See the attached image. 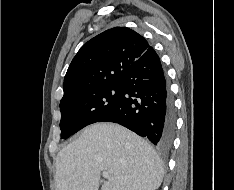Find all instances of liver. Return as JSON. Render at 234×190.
<instances>
[{
	"mask_svg": "<svg viewBox=\"0 0 234 190\" xmlns=\"http://www.w3.org/2000/svg\"><path fill=\"white\" fill-rule=\"evenodd\" d=\"M111 179L101 190H157L164 176L155 150L114 123H96L61 149L56 158V190H98L101 172Z\"/></svg>",
	"mask_w": 234,
	"mask_h": 190,
	"instance_id": "obj_1",
	"label": "liver"
}]
</instances>
